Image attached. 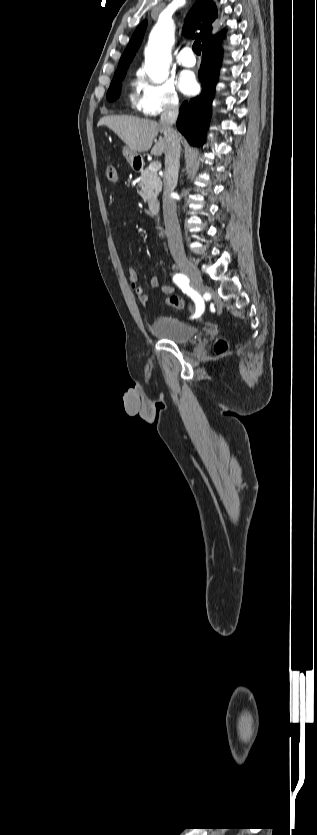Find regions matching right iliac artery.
Returning <instances> with one entry per match:
<instances>
[{"label":"right iliac artery","mask_w":317,"mask_h":835,"mask_svg":"<svg viewBox=\"0 0 317 835\" xmlns=\"http://www.w3.org/2000/svg\"><path fill=\"white\" fill-rule=\"evenodd\" d=\"M173 280L179 286V288L195 302L196 313L194 317H199L204 312L205 308L202 297L190 287L189 279L184 274H175Z\"/></svg>","instance_id":"obj_1"}]
</instances>
